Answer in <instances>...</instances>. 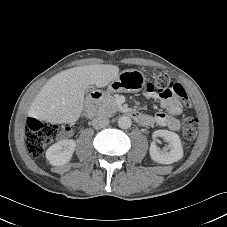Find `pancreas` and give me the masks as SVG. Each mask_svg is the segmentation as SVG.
<instances>
[{"label":"pancreas","mask_w":227,"mask_h":227,"mask_svg":"<svg viewBox=\"0 0 227 227\" xmlns=\"http://www.w3.org/2000/svg\"><path fill=\"white\" fill-rule=\"evenodd\" d=\"M121 107L116 103L115 98L110 95H103L96 105L98 115L111 116Z\"/></svg>","instance_id":"cf45deb5"}]
</instances>
